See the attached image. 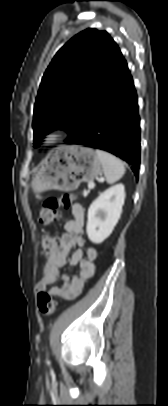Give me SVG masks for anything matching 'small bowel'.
<instances>
[{"label":"small bowel","mask_w":168,"mask_h":406,"mask_svg":"<svg viewBox=\"0 0 168 406\" xmlns=\"http://www.w3.org/2000/svg\"><path fill=\"white\" fill-rule=\"evenodd\" d=\"M71 214L73 218L64 225V233L59 239L60 247L46 261L41 279L36 284L38 292L45 291L47 288L59 280L61 286H52L49 293L53 296L72 300L79 296L83 291L84 285L95 272V260L97 258V249L88 247L85 250L84 239V209L79 204L72 205ZM74 250L68 259V254ZM69 262L71 266H77L79 271L76 275L68 276L61 274V269Z\"/></svg>","instance_id":"c3829d8e"}]
</instances>
